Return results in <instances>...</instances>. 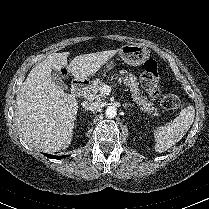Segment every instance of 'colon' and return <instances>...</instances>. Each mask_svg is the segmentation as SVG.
<instances>
[{"label": "colon", "mask_w": 209, "mask_h": 209, "mask_svg": "<svg viewBox=\"0 0 209 209\" xmlns=\"http://www.w3.org/2000/svg\"><path fill=\"white\" fill-rule=\"evenodd\" d=\"M144 71L141 83L153 99H159L163 108L167 110H178L182 108V101L173 94L162 95L159 85V69L154 59H148L144 63Z\"/></svg>", "instance_id": "5ec220e1"}]
</instances>
